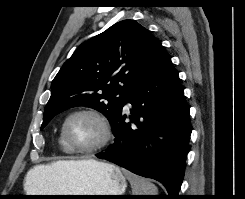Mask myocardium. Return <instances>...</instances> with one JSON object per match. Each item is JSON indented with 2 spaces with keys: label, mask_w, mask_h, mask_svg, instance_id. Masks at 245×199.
Masks as SVG:
<instances>
[{
  "label": "myocardium",
  "mask_w": 245,
  "mask_h": 199,
  "mask_svg": "<svg viewBox=\"0 0 245 199\" xmlns=\"http://www.w3.org/2000/svg\"><path fill=\"white\" fill-rule=\"evenodd\" d=\"M78 115H89L93 117L95 120L99 122V124L102 127L103 130V136L100 142H98L96 145L88 148H80L73 144V142L70 140L67 127L70 122V120ZM61 133L64 138V141L70 148V150L73 153L81 154V155H91L96 154L103 149H105L111 142L113 138V130L112 126L108 120V118L100 111L94 109V108H79L76 110L71 111L66 118L63 121Z\"/></svg>",
  "instance_id": "myocardium-1"
}]
</instances>
